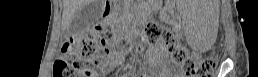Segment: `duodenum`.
<instances>
[{
  "instance_id": "duodenum-1",
  "label": "duodenum",
  "mask_w": 258,
  "mask_h": 77,
  "mask_svg": "<svg viewBox=\"0 0 258 77\" xmlns=\"http://www.w3.org/2000/svg\"><path fill=\"white\" fill-rule=\"evenodd\" d=\"M109 3H112L111 1H107V6L105 7V13H104V16H106V18L107 17H109V15H110V9H109Z\"/></svg>"
}]
</instances>
